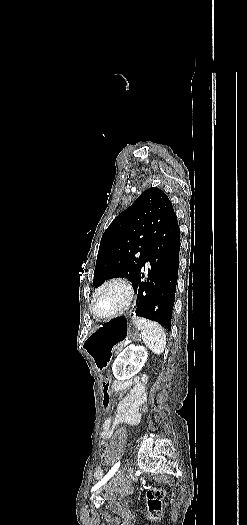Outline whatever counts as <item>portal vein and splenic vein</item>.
Masks as SVG:
<instances>
[{"mask_svg":"<svg viewBox=\"0 0 247 525\" xmlns=\"http://www.w3.org/2000/svg\"><path fill=\"white\" fill-rule=\"evenodd\" d=\"M131 340H125L124 346H130Z\"/></svg>","mask_w":247,"mask_h":525,"instance_id":"18ae733b","label":"portal vein and splenic vein"}]
</instances>
